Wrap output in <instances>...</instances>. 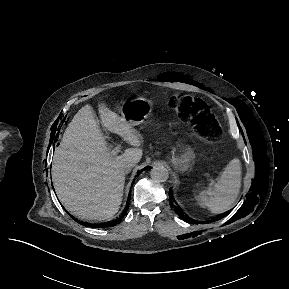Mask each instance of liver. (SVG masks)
<instances>
[{"label":"liver","mask_w":289,"mask_h":289,"mask_svg":"<svg viewBox=\"0 0 289 289\" xmlns=\"http://www.w3.org/2000/svg\"><path fill=\"white\" fill-rule=\"evenodd\" d=\"M102 124L133 146L114 157L90 105L83 106L66 128L55 149L52 181L58 199L74 216L86 220L111 219L122 202L125 174L121 166L142 157L141 138L124 118L99 104Z\"/></svg>","instance_id":"obj_1"}]
</instances>
